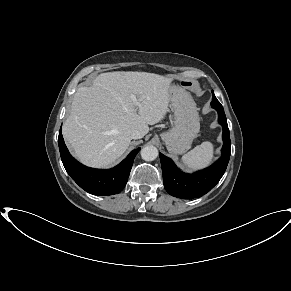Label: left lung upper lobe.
Instances as JSON below:
<instances>
[{"label":"left lung upper lobe","instance_id":"5c2ea615","mask_svg":"<svg viewBox=\"0 0 291 291\" xmlns=\"http://www.w3.org/2000/svg\"><path fill=\"white\" fill-rule=\"evenodd\" d=\"M212 93H213V100H217V98L215 97V95H214V92L212 91Z\"/></svg>","mask_w":291,"mask_h":291}]
</instances>
